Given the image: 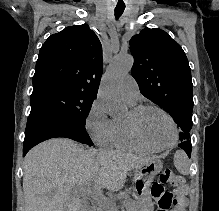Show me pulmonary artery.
<instances>
[{"instance_id":"1","label":"pulmonary artery","mask_w":219,"mask_h":211,"mask_svg":"<svg viewBox=\"0 0 219 211\" xmlns=\"http://www.w3.org/2000/svg\"><path fill=\"white\" fill-rule=\"evenodd\" d=\"M120 94L122 99L128 104H135L139 96V86L132 75L124 77L120 85Z\"/></svg>"}]
</instances>
